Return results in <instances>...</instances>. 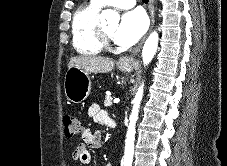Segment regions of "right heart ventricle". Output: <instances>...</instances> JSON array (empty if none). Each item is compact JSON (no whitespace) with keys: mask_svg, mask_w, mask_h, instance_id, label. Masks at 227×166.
Wrapping results in <instances>:
<instances>
[{"mask_svg":"<svg viewBox=\"0 0 227 166\" xmlns=\"http://www.w3.org/2000/svg\"><path fill=\"white\" fill-rule=\"evenodd\" d=\"M103 5L91 0L82 4L75 12L72 25V45L83 55H97L103 45L97 35L99 12Z\"/></svg>","mask_w":227,"mask_h":166,"instance_id":"e07e8e85","label":"right heart ventricle"}]
</instances>
